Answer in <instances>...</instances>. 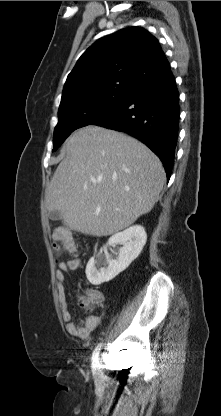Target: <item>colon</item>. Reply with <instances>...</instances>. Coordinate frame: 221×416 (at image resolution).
<instances>
[{
	"label": "colon",
	"instance_id": "colon-1",
	"mask_svg": "<svg viewBox=\"0 0 221 416\" xmlns=\"http://www.w3.org/2000/svg\"><path fill=\"white\" fill-rule=\"evenodd\" d=\"M53 248L58 254H68L71 256H76L78 253L77 246L70 235V233L65 230H56L53 233ZM101 301V297L92 292L86 298H81L80 303L83 308H90L96 306Z\"/></svg>",
	"mask_w": 221,
	"mask_h": 416
}]
</instances>
